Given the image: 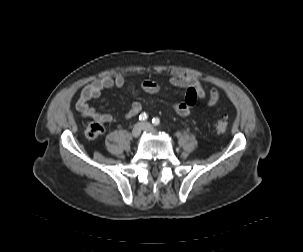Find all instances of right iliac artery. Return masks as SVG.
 <instances>
[{"label": "right iliac artery", "instance_id": "1", "mask_svg": "<svg viewBox=\"0 0 303 252\" xmlns=\"http://www.w3.org/2000/svg\"><path fill=\"white\" fill-rule=\"evenodd\" d=\"M148 118V115L144 112L139 115L140 121H145Z\"/></svg>", "mask_w": 303, "mask_h": 252}]
</instances>
